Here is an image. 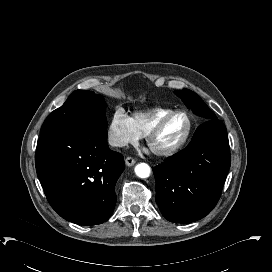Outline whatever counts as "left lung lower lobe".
<instances>
[{
    "mask_svg": "<svg viewBox=\"0 0 272 272\" xmlns=\"http://www.w3.org/2000/svg\"><path fill=\"white\" fill-rule=\"evenodd\" d=\"M231 164L224 124L211 119L195 131L188 147L153 167L156 202L163 216L189 223L217 204Z\"/></svg>",
    "mask_w": 272,
    "mask_h": 272,
    "instance_id": "left-lung-lower-lobe-1",
    "label": "left lung lower lobe"
}]
</instances>
